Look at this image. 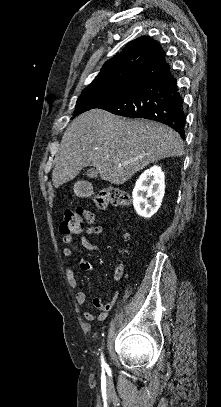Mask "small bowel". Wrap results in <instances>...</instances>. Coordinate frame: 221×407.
I'll use <instances>...</instances> for the list:
<instances>
[{
    "mask_svg": "<svg viewBox=\"0 0 221 407\" xmlns=\"http://www.w3.org/2000/svg\"><path fill=\"white\" fill-rule=\"evenodd\" d=\"M102 231H103L102 227H96V229L93 232L99 234V233H102ZM73 241H74V239L70 236L63 237L64 247L62 249V252H63V255L67 258H73V256H74L73 249L70 246L73 243ZM80 242L84 248H86L90 251L96 252V253H101V250L98 247V245L91 242L87 237L80 236ZM79 267H80V270L83 272H93L94 271V266L86 259H82L80 261ZM120 277H121V271H120V269H117L113 275V279L119 280ZM66 280L71 289H75L77 287V284H78L77 279H76L75 273L73 271V268L71 266H68L66 269ZM87 296H88V294L84 290L76 292V294L74 296L76 305H78V306L83 305L87 300ZM117 297H118V292H115L114 295L111 297L110 301L108 303L104 304L100 297L95 296L92 299V304H93V307L97 311H99V315L96 316V314L93 312H86L84 314L85 319L89 320V321L94 320L95 318H97L100 321L103 320L106 317L107 312L115 304Z\"/></svg>",
    "mask_w": 221,
    "mask_h": 407,
    "instance_id": "obj_1",
    "label": "small bowel"
}]
</instances>
